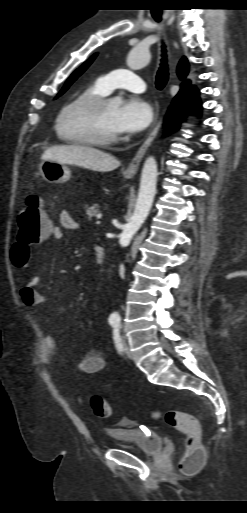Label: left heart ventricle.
Wrapping results in <instances>:
<instances>
[{
	"label": "left heart ventricle",
	"instance_id": "left-heart-ventricle-1",
	"mask_svg": "<svg viewBox=\"0 0 247 513\" xmlns=\"http://www.w3.org/2000/svg\"><path fill=\"white\" fill-rule=\"evenodd\" d=\"M118 108V103L111 100L94 117L86 116L81 112H70L65 118V128L71 134L90 133L103 137L117 136L114 118Z\"/></svg>",
	"mask_w": 247,
	"mask_h": 513
}]
</instances>
